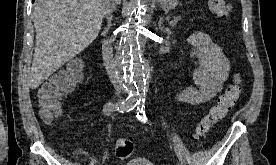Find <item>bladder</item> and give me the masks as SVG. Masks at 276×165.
I'll return each mask as SVG.
<instances>
[{"mask_svg": "<svg viewBox=\"0 0 276 165\" xmlns=\"http://www.w3.org/2000/svg\"><path fill=\"white\" fill-rule=\"evenodd\" d=\"M124 165H153V163L145 158L135 157L127 161Z\"/></svg>", "mask_w": 276, "mask_h": 165, "instance_id": "31cf9c89", "label": "bladder"}]
</instances>
